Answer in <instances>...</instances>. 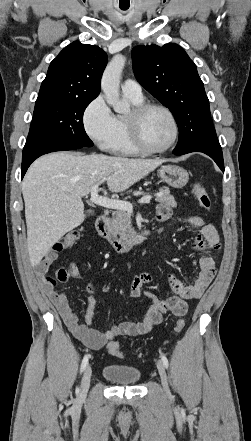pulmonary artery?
<instances>
[{
  "label": "pulmonary artery",
  "mask_w": 251,
  "mask_h": 441,
  "mask_svg": "<svg viewBox=\"0 0 251 441\" xmlns=\"http://www.w3.org/2000/svg\"><path fill=\"white\" fill-rule=\"evenodd\" d=\"M122 92L131 97L140 98L142 97V88L140 84L133 79H126L122 83Z\"/></svg>",
  "instance_id": "1"
}]
</instances>
